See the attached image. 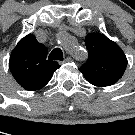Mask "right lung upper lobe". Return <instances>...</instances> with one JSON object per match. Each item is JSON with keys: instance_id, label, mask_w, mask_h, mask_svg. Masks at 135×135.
<instances>
[{"instance_id": "1", "label": "right lung upper lobe", "mask_w": 135, "mask_h": 135, "mask_svg": "<svg viewBox=\"0 0 135 135\" xmlns=\"http://www.w3.org/2000/svg\"><path fill=\"white\" fill-rule=\"evenodd\" d=\"M46 57L47 48L39 43L33 34H28L13 49L9 69L22 88L34 91L50 81L60 65L56 61L47 60Z\"/></svg>"}]
</instances>
